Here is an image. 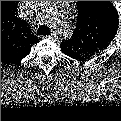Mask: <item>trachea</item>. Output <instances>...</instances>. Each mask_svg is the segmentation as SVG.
Returning a JSON list of instances; mask_svg holds the SVG:
<instances>
[{
    "mask_svg": "<svg viewBox=\"0 0 121 121\" xmlns=\"http://www.w3.org/2000/svg\"><path fill=\"white\" fill-rule=\"evenodd\" d=\"M40 35H45L47 33V27L46 26H40L37 31Z\"/></svg>",
    "mask_w": 121,
    "mask_h": 121,
    "instance_id": "obj_1",
    "label": "trachea"
}]
</instances>
